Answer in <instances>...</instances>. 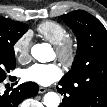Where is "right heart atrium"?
I'll use <instances>...</instances> for the list:
<instances>
[{
    "label": "right heart atrium",
    "instance_id": "1",
    "mask_svg": "<svg viewBox=\"0 0 107 107\" xmlns=\"http://www.w3.org/2000/svg\"><path fill=\"white\" fill-rule=\"evenodd\" d=\"M31 34L25 32L13 44V52L20 62H28L31 58Z\"/></svg>",
    "mask_w": 107,
    "mask_h": 107
}]
</instances>
